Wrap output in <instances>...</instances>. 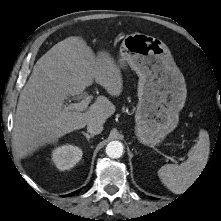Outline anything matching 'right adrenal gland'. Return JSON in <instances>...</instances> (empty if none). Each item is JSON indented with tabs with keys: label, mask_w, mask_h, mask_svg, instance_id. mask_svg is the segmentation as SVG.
<instances>
[{
	"label": "right adrenal gland",
	"mask_w": 221,
	"mask_h": 221,
	"mask_svg": "<svg viewBox=\"0 0 221 221\" xmlns=\"http://www.w3.org/2000/svg\"><path fill=\"white\" fill-rule=\"evenodd\" d=\"M82 134L86 137V139H87V141H89L90 140V138H93L94 137V135H90V134H88V133H85L84 131H82Z\"/></svg>",
	"instance_id": "right-adrenal-gland-1"
}]
</instances>
